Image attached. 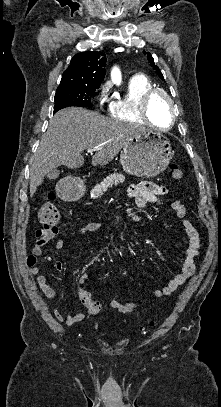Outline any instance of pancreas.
I'll return each instance as SVG.
<instances>
[{
	"label": "pancreas",
	"mask_w": 221,
	"mask_h": 407,
	"mask_svg": "<svg viewBox=\"0 0 221 407\" xmlns=\"http://www.w3.org/2000/svg\"><path fill=\"white\" fill-rule=\"evenodd\" d=\"M124 180H125V176L123 174L113 173V174L107 176L106 178H104L100 184H97L91 190V193L95 197H99L104 192H106L109 188H111L113 185H118L120 183H123Z\"/></svg>",
	"instance_id": "cf45deb5"
}]
</instances>
